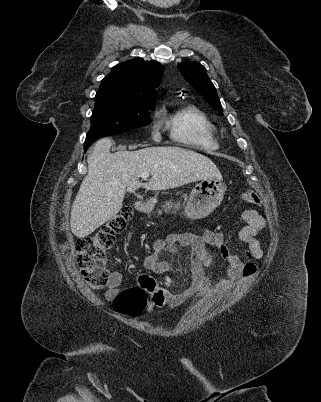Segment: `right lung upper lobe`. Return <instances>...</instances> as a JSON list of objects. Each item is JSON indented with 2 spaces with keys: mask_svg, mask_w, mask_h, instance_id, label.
Returning a JSON list of instances; mask_svg holds the SVG:
<instances>
[{
  "mask_svg": "<svg viewBox=\"0 0 321 402\" xmlns=\"http://www.w3.org/2000/svg\"><path fill=\"white\" fill-rule=\"evenodd\" d=\"M163 72V66L154 60H128L113 67L101 81L96 95L155 105L154 88L159 85Z\"/></svg>",
  "mask_w": 321,
  "mask_h": 402,
  "instance_id": "obj_1",
  "label": "right lung upper lobe"
}]
</instances>
